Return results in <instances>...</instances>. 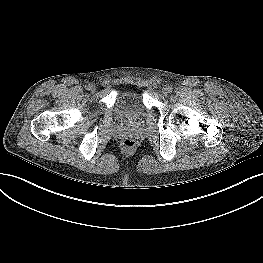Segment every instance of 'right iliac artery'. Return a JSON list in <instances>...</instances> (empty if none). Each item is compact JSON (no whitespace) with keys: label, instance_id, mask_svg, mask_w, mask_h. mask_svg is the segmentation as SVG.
<instances>
[{"label":"right iliac artery","instance_id":"obj_1","mask_svg":"<svg viewBox=\"0 0 263 263\" xmlns=\"http://www.w3.org/2000/svg\"><path fill=\"white\" fill-rule=\"evenodd\" d=\"M85 87H86L87 90H89L90 84L86 85Z\"/></svg>","mask_w":263,"mask_h":263}]
</instances>
